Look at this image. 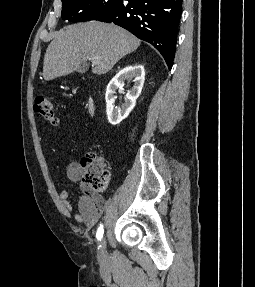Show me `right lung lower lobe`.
<instances>
[{"label": "right lung lower lobe", "mask_w": 255, "mask_h": 287, "mask_svg": "<svg viewBox=\"0 0 255 287\" xmlns=\"http://www.w3.org/2000/svg\"><path fill=\"white\" fill-rule=\"evenodd\" d=\"M182 0H123L97 20L119 25L152 44L171 69Z\"/></svg>", "instance_id": "98d812e1"}]
</instances>
